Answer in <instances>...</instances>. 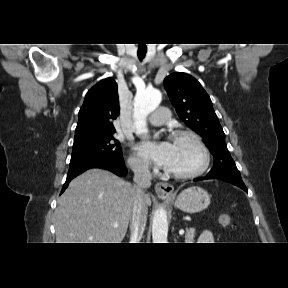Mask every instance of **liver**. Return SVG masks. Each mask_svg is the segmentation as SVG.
<instances>
[{"mask_svg":"<svg viewBox=\"0 0 288 288\" xmlns=\"http://www.w3.org/2000/svg\"><path fill=\"white\" fill-rule=\"evenodd\" d=\"M134 191L131 183L103 169L73 179L55 210L57 243H121L131 221ZM145 204L151 206L149 194Z\"/></svg>","mask_w":288,"mask_h":288,"instance_id":"obj_1","label":"liver"}]
</instances>
